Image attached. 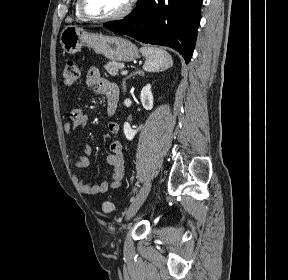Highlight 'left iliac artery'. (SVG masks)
<instances>
[{"mask_svg":"<svg viewBox=\"0 0 288 280\" xmlns=\"http://www.w3.org/2000/svg\"><path fill=\"white\" fill-rule=\"evenodd\" d=\"M142 185L136 184L132 196L129 197L130 201H135L137 196H140Z\"/></svg>","mask_w":288,"mask_h":280,"instance_id":"obj_1","label":"left iliac artery"}]
</instances>
